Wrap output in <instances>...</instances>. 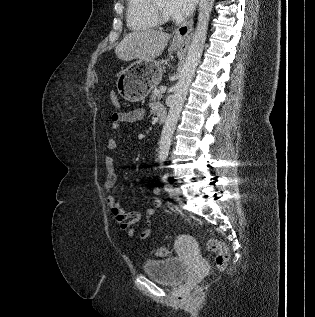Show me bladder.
Here are the masks:
<instances>
[{
  "mask_svg": "<svg viewBox=\"0 0 315 317\" xmlns=\"http://www.w3.org/2000/svg\"><path fill=\"white\" fill-rule=\"evenodd\" d=\"M143 271L146 275L160 283L174 286L180 284L185 279L187 265L178 257L147 260L143 264Z\"/></svg>",
  "mask_w": 315,
  "mask_h": 317,
  "instance_id": "31cf9c89",
  "label": "bladder"
}]
</instances>
